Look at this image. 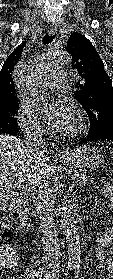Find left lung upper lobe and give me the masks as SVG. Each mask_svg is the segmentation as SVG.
I'll use <instances>...</instances> for the list:
<instances>
[{
	"mask_svg": "<svg viewBox=\"0 0 113 279\" xmlns=\"http://www.w3.org/2000/svg\"><path fill=\"white\" fill-rule=\"evenodd\" d=\"M66 50L72 56V69L79 75L75 98L90 121L89 132H98L113 123L112 81L92 43L82 34H71Z\"/></svg>",
	"mask_w": 113,
	"mask_h": 279,
	"instance_id": "left-lung-upper-lobe-1",
	"label": "left lung upper lobe"
}]
</instances>
